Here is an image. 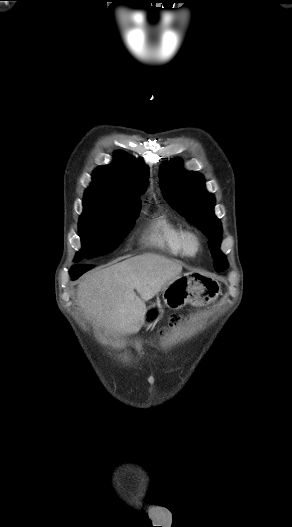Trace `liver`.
Masks as SVG:
<instances>
[{
	"mask_svg": "<svg viewBox=\"0 0 292 527\" xmlns=\"http://www.w3.org/2000/svg\"><path fill=\"white\" fill-rule=\"evenodd\" d=\"M181 272L178 261L152 253L137 255L86 275L78 284L77 301L101 327L135 334L145 321V302Z\"/></svg>",
	"mask_w": 292,
	"mask_h": 527,
	"instance_id": "6515ba94",
	"label": "liver"
}]
</instances>
